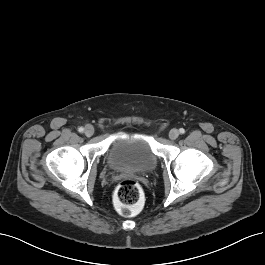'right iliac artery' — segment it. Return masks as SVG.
Returning <instances> with one entry per match:
<instances>
[{"label":"right iliac artery","mask_w":265,"mask_h":265,"mask_svg":"<svg viewBox=\"0 0 265 265\" xmlns=\"http://www.w3.org/2000/svg\"><path fill=\"white\" fill-rule=\"evenodd\" d=\"M78 131L79 132H83L84 131V128L83 127H80V128H78Z\"/></svg>","instance_id":"right-iliac-artery-1"}]
</instances>
